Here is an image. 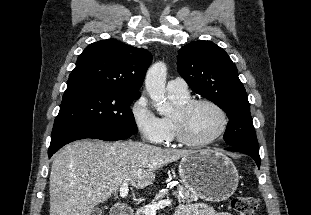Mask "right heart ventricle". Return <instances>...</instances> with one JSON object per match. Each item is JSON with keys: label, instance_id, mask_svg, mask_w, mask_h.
Returning a JSON list of instances; mask_svg holds the SVG:
<instances>
[{"label": "right heart ventricle", "instance_id": "e07e8e85", "mask_svg": "<svg viewBox=\"0 0 311 215\" xmlns=\"http://www.w3.org/2000/svg\"><path fill=\"white\" fill-rule=\"evenodd\" d=\"M169 98L173 102V104L176 107H178V106L184 104L185 102H187L188 100H190V95H189V93L185 94V95L169 93ZM163 119L169 128V132H170L169 140H173V139L177 138L176 129H175L174 123L172 121V117H164Z\"/></svg>", "mask_w": 311, "mask_h": 215}]
</instances>
